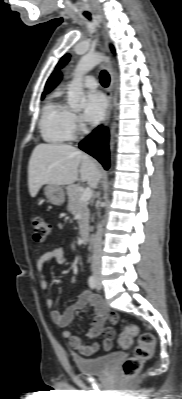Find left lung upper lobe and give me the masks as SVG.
<instances>
[{"mask_svg": "<svg viewBox=\"0 0 182 399\" xmlns=\"http://www.w3.org/2000/svg\"><path fill=\"white\" fill-rule=\"evenodd\" d=\"M112 50L114 51V49L112 48ZM70 56L67 54L65 56L62 57V59L60 60V62L58 63L57 67H63L68 61H69Z\"/></svg>", "mask_w": 182, "mask_h": 399, "instance_id": "1", "label": "left lung upper lobe"}]
</instances>
